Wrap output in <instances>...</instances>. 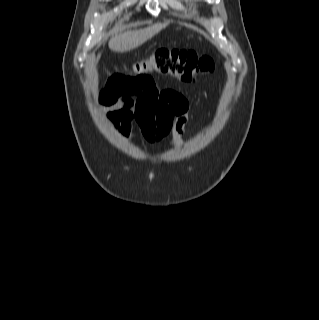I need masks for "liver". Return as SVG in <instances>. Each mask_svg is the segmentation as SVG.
<instances>
[{
	"label": "liver",
	"instance_id": "6515ba94",
	"mask_svg": "<svg viewBox=\"0 0 319 320\" xmlns=\"http://www.w3.org/2000/svg\"><path fill=\"white\" fill-rule=\"evenodd\" d=\"M166 26V23H158L144 29L121 31L110 38L109 48L111 51L120 53L130 51L154 37ZM100 56L101 54L98 55L97 60Z\"/></svg>",
	"mask_w": 319,
	"mask_h": 320
}]
</instances>
